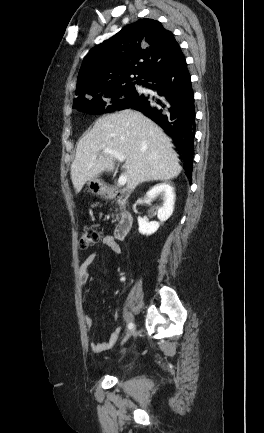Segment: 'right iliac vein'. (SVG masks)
<instances>
[{
	"mask_svg": "<svg viewBox=\"0 0 264 433\" xmlns=\"http://www.w3.org/2000/svg\"><path fill=\"white\" fill-rule=\"evenodd\" d=\"M134 333H135V329H133V330H131L130 332H128L127 336H126V337L124 338V340L122 341V345H123L124 343H126L127 340H128L132 335H134Z\"/></svg>",
	"mask_w": 264,
	"mask_h": 433,
	"instance_id": "right-iliac-vein-1",
	"label": "right iliac vein"
}]
</instances>
